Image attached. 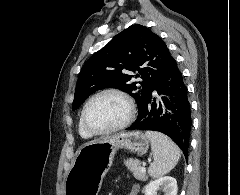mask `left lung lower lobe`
<instances>
[{"label": "left lung lower lobe", "instance_id": "obj_1", "mask_svg": "<svg viewBox=\"0 0 240 195\" xmlns=\"http://www.w3.org/2000/svg\"><path fill=\"white\" fill-rule=\"evenodd\" d=\"M191 121L187 88L176 60L172 57L164 73L150 87L136 121L127 129L162 132L181 148L187 158Z\"/></svg>", "mask_w": 240, "mask_h": 195}]
</instances>
